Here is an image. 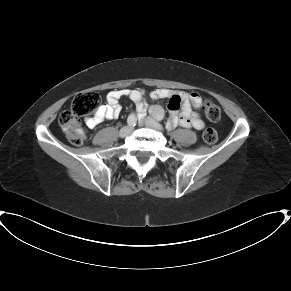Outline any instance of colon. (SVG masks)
I'll return each mask as SVG.
<instances>
[{
    "instance_id": "obj_1",
    "label": "colon",
    "mask_w": 291,
    "mask_h": 291,
    "mask_svg": "<svg viewBox=\"0 0 291 291\" xmlns=\"http://www.w3.org/2000/svg\"><path fill=\"white\" fill-rule=\"evenodd\" d=\"M99 103L100 98L96 92L83 91L73 98L70 108L60 114V127L73 145L80 146L85 139L84 131L79 124V118L92 114L98 107ZM203 109L205 115L211 121L216 122L220 119V108L212 100H205L203 103ZM216 140V130L208 128L203 132V141L206 144H213Z\"/></svg>"
}]
</instances>
